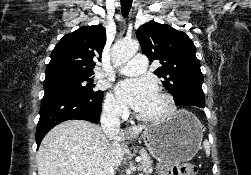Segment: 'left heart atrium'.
<instances>
[{"label":"left heart atrium","instance_id":"1","mask_svg":"<svg viewBox=\"0 0 251 175\" xmlns=\"http://www.w3.org/2000/svg\"><path fill=\"white\" fill-rule=\"evenodd\" d=\"M115 93L120 103L141 113H146L159 96L156 82L149 77L123 79L116 84Z\"/></svg>","mask_w":251,"mask_h":175}]
</instances>
